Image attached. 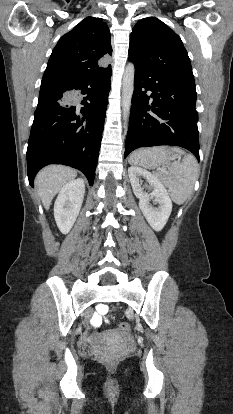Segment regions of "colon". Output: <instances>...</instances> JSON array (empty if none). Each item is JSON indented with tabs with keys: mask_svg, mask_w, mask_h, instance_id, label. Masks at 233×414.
Returning <instances> with one entry per match:
<instances>
[{
	"mask_svg": "<svg viewBox=\"0 0 233 414\" xmlns=\"http://www.w3.org/2000/svg\"><path fill=\"white\" fill-rule=\"evenodd\" d=\"M119 329L122 332H128V331H130L131 326L128 322H121L119 324ZM100 359L104 364H107V365H110V364L113 363V360L110 357H107V356H102Z\"/></svg>",
	"mask_w": 233,
	"mask_h": 414,
	"instance_id": "5ec220e1",
	"label": "colon"
}]
</instances>
